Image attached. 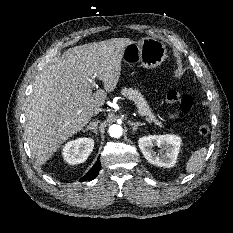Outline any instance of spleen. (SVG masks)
Instances as JSON below:
<instances>
[{"label":"spleen","mask_w":233,"mask_h":233,"mask_svg":"<svg viewBox=\"0 0 233 233\" xmlns=\"http://www.w3.org/2000/svg\"><path fill=\"white\" fill-rule=\"evenodd\" d=\"M206 155H207L206 147H201L195 152H193L186 164V171L188 173L195 172L204 162Z\"/></svg>","instance_id":"1"}]
</instances>
